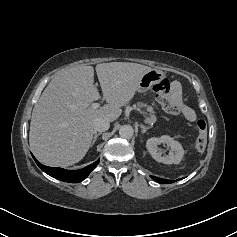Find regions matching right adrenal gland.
I'll return each mask as SVG.
<instances>
[{
  "instance_id": "right-adrenal-gland-1",
  "label": "right adrenal gland",
  "mask_w": 237,
  "mask_h": 237,
  "mask_svg": "<svg viewBox=\"0 0 237 237\" xmlns=\"http://www.w3.org/2000/svg\"><path fill=\"white\" fill-rule=\"evenodd\" d=\"M101 134H102L101 132H99V133L95 132L94 138H93V141H92V144H91V147H92V146L94 145V143L96 142L97 137H98L99 135H101Z\"/></svg>"
}]
</instances>
